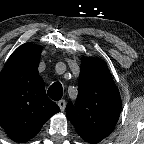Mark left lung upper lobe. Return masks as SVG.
<instances>
[{"label": "left lung upper lobe", "instance_id": "5c2ea615", "mask_svg": "<svg viewBox=\"0 0 144 144\" xmlns=\"http://www.w3.org/2000/svg\"><path fill=\"white\" fill-rule=\"evenodd\" d=\"M79 92L75 104L68 102L66 115L77 133L95 144L114 130L121 111V98L106 64L99 58H82Z\"/></svg>", "mask_w": 144, "mask_h": 144}]
</instances>
